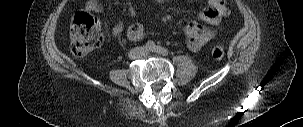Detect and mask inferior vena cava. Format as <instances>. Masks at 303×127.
Returning a JSON list of instances; mask_svg holds the SVG:
<instances>
[{"label": "inferior vena cava", "mask_w": 303, "mask_h": 127, "mask_svg": "<svg viewBox=\"0 0 303 127\" xmlns=\"http://www.w3.org/2000/svg\"><path fill=\"white\" fill-rule=\"evenodd\" d=\"M129 58L130 59H139L144 56V52L140 48H133L129 51Z\"/></svg>", "instance_id": "602c4592"}]
</instances>
